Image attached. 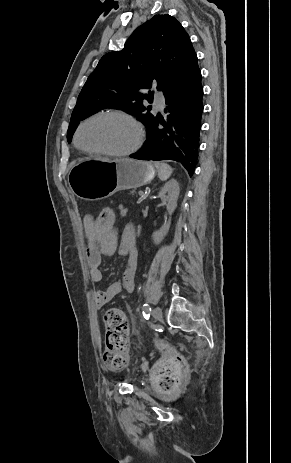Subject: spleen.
<instances>
[{"label":"spleen","instance_id":"3e777b00","mask_svg":"<svg viewBox=\"0 0 291 463\" xmlns=\"http://www.w3.org/2000/svg\"><path fill=\"white\" fill-rule=\"evenodd\" d=\"M154 166L157 169L158 177L161 181H166L172 174L173 169L166 163H155Z\"/></svg>","mask_w":291,"mask_h":463}]
</instances>
